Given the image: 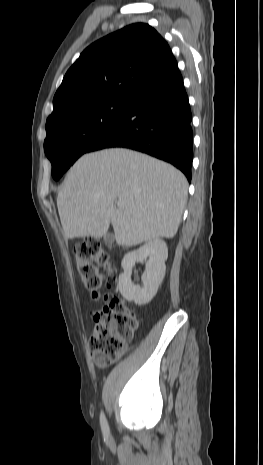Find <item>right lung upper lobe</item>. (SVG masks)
Here are the masks:
<instances>
[{
	"mask_svg": "<svg viewBox=\"0 0 263 465\" xmlns=\"http://www.w3.org/2000/svg\"><path fill=\"white\" fill-rule=\"evenodd\" d=\"M161 35L135 23L94 42L67 71L47 122L74 107L106 98L132 97L176 70Z\"/></svg>",
	"mask_w": 263,
	"mask_h": 465,
	"instance_id": "1",
	"label": "right lung upper lobe"
}]
</instances>
